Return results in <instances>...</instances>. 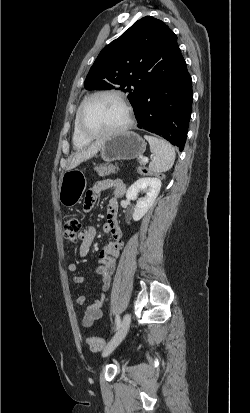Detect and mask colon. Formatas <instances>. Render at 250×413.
Instances as JSON below:
<instances>
[{
    "mask_svg": "<svg viewBox=\"0 0 250 413\" xmlns=\"http://www.w3.org/2000/svg\"><path fill=\"white\" fill-rule=\"evenodd\" d=\"M138 172L144 174L146 177H153L156 180L163 181L165 173L163 171H157L153 168L139 167ZM82 229V225L77 218H70L66 221L64 226V236L68 241L75 242L81 239L78 235L79 230ZM86 342L91 350H100L105 345V340L99 337H89Z\"/></svg>",
    "mask_w": 250,
    "mask_h": 413,
    "instance_id": "1",
    "label": "colon"
}]
</instances>
